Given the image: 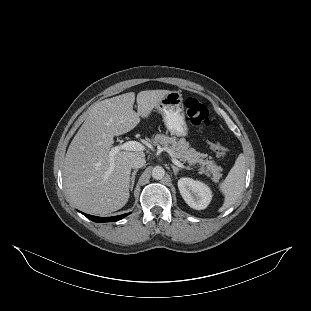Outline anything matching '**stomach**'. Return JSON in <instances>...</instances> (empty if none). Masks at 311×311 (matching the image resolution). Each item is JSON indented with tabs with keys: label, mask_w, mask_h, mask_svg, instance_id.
<instances>
[{
	"label": "stomach",
	"mask_w": 311,
	"mask_h": 311,
	"mask_svg": "<svg viewBox=\"0 0 311 311\" xmlns=\"http://www.w3.org/2000/svg\"><path fill=\"white\" fill-rule=\"evenodd\" d=\"M166 130L178 138H186L190 134L183 96L179 91H171L158 106Z\"/></svg>",
	"instance_id": "obj_1"
}]
</instances>
